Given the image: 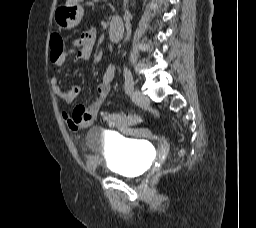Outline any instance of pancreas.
<instances>
[{
    "mask_svg": "<svg viewBox=\"0 0 256 228\" xmlns=\"http://www.w3.org/2000/svg\"><path fill=\"white\" fill-rule=\"evenodd\" d=\"M94 2H98L99 0H93Z\"/></svg>",
    "mask_w": 256,
    "mask_h": 228,
    "instance_id": "obj_1",
    "label": "pancreas"
}]
</instances>
